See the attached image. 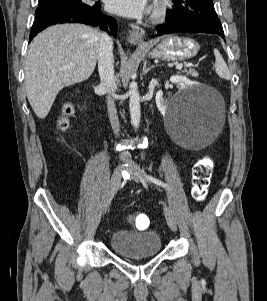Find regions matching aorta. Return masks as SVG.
Instances as JSON below:
<instances>
[{
    "label": "aorta",
    "mask_w": 267,
    "mask_h": 301,
    "mask_svg": "<svg viewBox=\"0 0 267 301\" xmlns=\"http://www.w3.org/2000/svg\"><path fill=\"white\" fill-rule=\"evenodd\" d=\"M129 109L131 116V124L135 129L139 127L140 124V95L138 91V86L136 82H131L129 86Z\"/></svg>",
    "instance_id": "762f6f07"
}]
</instances>
